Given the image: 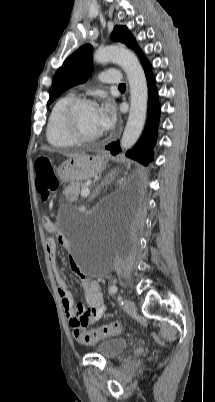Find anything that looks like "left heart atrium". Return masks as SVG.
<instances>
[{"label": "left heart atrium", "instance_id": "obj_1", "mask_svg": "<svg viewBox=\"0 0 215 402\" xmlns=\"http://www.w3.org/2000/svg\"><path fill=\"white\" fill-rule=\"evenodd\" d=\"M115 120V111L109 102H106L98 107V123L102 132L111 129L115 123Z\"/></svg>", "mask_w": 215, "mask_h": 402}]
</instances>
